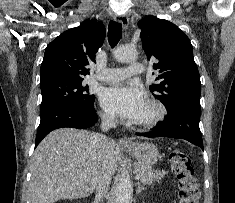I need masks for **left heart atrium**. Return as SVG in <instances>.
Here are the masks:
<instances>
[{
    "instance_id": "obj_1",
    "label": "left heart atrium",
    "mask_w": 235,
    "mask_h": 203,
    "mask_svg": "<svg viewBox=\"0 0 235 203\" xmlns=\"http://www.w3.org/2000/svg\"><path fill=\"white\" fill-rule=\"evenodd\" d=\"M101 105L111 115L136 122L146 107L144 93L136 86L118 85L106 88L100 96Z\"/></svg>"
}]
</instances>
